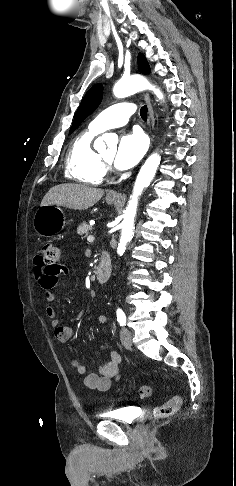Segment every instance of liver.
Wrapping results in <instances>:
<instances>
[{
  "mask_svg": "<svg viewBox=\"0 0 236 486\" xmlns=\"http://www.w3.org/2000/svg\"><path fill=\"white\" fill-rule=\"evenodd\" d=\"M104 190L81 184H60L52 187L41 202L43 205H57L74 210H86L97 203Z\"/></svg>",
  "mask_w": 236,
  "mask_h": 486,
  "instance_id": "1",
  "label": "liver"
}]
</instances>
